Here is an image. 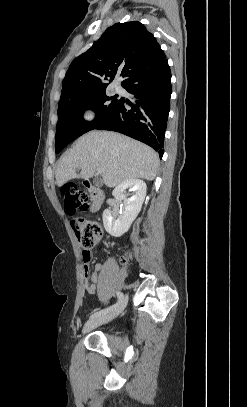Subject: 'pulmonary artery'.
<instances>
[{"instance_id": "obj_1", "label": "pulmonary artery", "mask_w": 247, "mask_h": 407, "mask_svg": "<svg viewBox=\"0 0 247 407\" xmlns=\"http://www.w3.org/2000/svg\"><path fill=\"white\" fill-rule=\"evenodd\" d=\"M121 87L120 86H116V91H120Z\"/></svg>"}]
</instances>
